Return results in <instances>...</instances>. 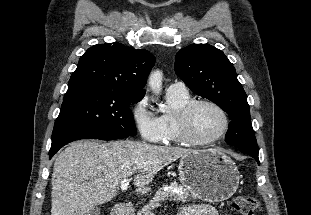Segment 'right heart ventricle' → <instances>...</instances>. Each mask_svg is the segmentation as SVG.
<instances>
[{"instance_id":"right-heart-ventricle-1","label":"right heart ventricle","mask_w":311,"mask_h":215,"mask_svg":"<svg viewBox=\"0 0 311 215\" xmlns=\"http://www.w3.org/2000/svg\"><path fill=\"white\" fill-rule=\"evenodd\" d=\"M166 98L170 106V110L160 117L166 131L164 141L166 143H181L182 140L180 138L176 116L178 111L193 99L188 91L180 92L171 90L167 91Z\"/></svg>"}]
</instances>
